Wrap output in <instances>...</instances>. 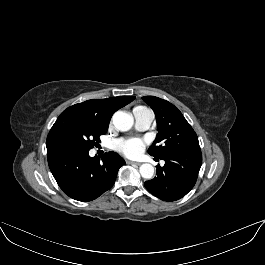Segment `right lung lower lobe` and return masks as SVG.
<instances>
[{"instance_id":"right-lung-lower-lobe-1","label":"right lung lower lobe","mask_w":265,"mask_h":265,"mask_svg":"<svg viewBox=\"0 0 265 265\" xmlns=\"http://www.w3.org/2000/svg\"><path fill=\"white\" fill-rule=\"evenodd\" d=\"M89 151L47 153L50 170L59 187L69 197L88 202L109 190L125 161L115 152L102 158L90 157Z\"/></svg>"}]
</instances>
